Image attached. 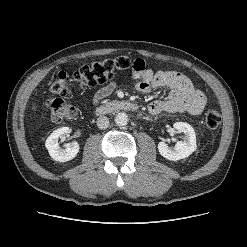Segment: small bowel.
<instances>
[{
	"label": "small bowel",
	"instance_id": "small-bowel-1",
	"mask_svg": "<svg viewBox=\"0 0 247 247\" xmlns=\"http://www.w3.org/2000/svg\"><path fill=\"white\" fill-rule=\"evenodd\" d=\"M139 66L133 68V78L137 80L136 88L142 93H149L155 88H165L169 91L167 98L156 100L148 105L151 114L188 113L199 115L205 106V95L197 90L185 74L178 71H158L154 73L145 67L142 59H136ZM115 88L114 82H109L98 89L94 101L98 102L109 96Z\"/></svg>",
	"mask_w": 247,
	"mask_h": 247
}]
</instances>
